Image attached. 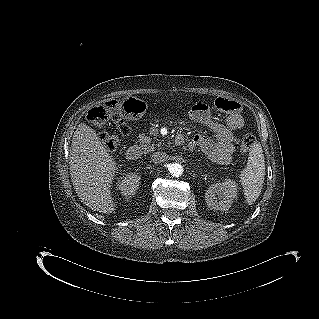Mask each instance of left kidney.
<instances>
[{"mask_svg": "<svg viewBox=\"0 0 319 319\" xmlns=\"http://www.w3.org/2000/svg\"><path fill=\"white\" fill-rule=\"evenodd\" d=\"M237 197V185L230 179L212 184L205 193V201L213 210L227 211Z\"/></svg>", "mask_w": 319, "mask_h": 319, "instance_id": "obj_1", "label": "left kidney"}]
</instances>
